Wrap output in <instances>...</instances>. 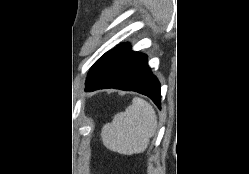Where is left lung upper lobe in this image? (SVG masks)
Segmentation results:
<instances>
[{
  "instance_id": "5c2ea615",
  "label": "left lung upper lobe",
  "mask_w": 249,
  "mask_h": 174,
  "mask_svg": "<svg viewBox=\"0 0 249 174\" xmlns=\"http://www.w3.org/2000/svg\"><path fill=\"white\" fill-rule=\"evenodd\" d=\"M122 45L117 46L115 49L108 51L105 53L91 68L88 77L90 78L94 76L96 73H98L113 57V55L116 53V51L121 47Z\"/></svg>"
}]
</instances>
